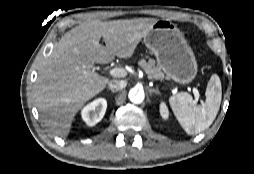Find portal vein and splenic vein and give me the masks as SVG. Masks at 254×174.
Instances as JSON below:
<instances>
[{"label":"portal vein and splenic vein","instance_id":"1","mask_svg":"<svg viewBox=\"0 0 254 174\" xmlns=\"http://www.w3.org/2000/svg\"><path fill=\"white\" fill-rule=\"evenodd\" d=\"M109 74L113 77H118V78H121V77H125L127 75V72L125 69L123 68H112L110 71H109ZM193 94L195 96V101L194 103H197L199 98H200V94L198 92V90L196 88H193Z\"/></svg>","mask_w":254,"mask_h":174}]
</instances>
